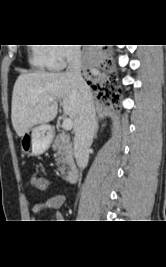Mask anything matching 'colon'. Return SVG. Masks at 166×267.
Instances as JSON below:
<instances>
[{"label": "colon", "instance_id": "obj_1", "mask_svg": "<svg viewBox=\"0 0 166 267\" xmlns=\"http://www.w3.org/2000/svg\"><path fill=\"white\" fill-rule=\"evenodd\" d=\"M26 180H31L33 188L46 189L48 181L45 178L38 177V175H26Z\"/></svg>", "mask_w": 166, "mask_h": 267}]
</instances>
